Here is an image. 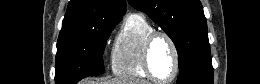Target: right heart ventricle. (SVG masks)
Listing matches in <instances>:
<instances>
[{
    "label": "right heart ventricle",
    "mask_w": 260,
    "mask_h": 84,
    "mask_svg": "<svg viewBox=\"0 0 260 84\" xmlns=\"http://www.w3.org/2000/svg\"><path fill=\"white\" fill-rule=\"evenodd\" d=\"M153 30L152 25L141 13L129 14L111 51V69L117 76L130 79L148 78L142 64L145 37Z\"/></svg>",
    "instance_id": "obj_1"
}]
</instances>
